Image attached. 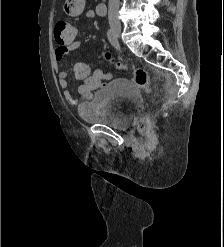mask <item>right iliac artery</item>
Listing matches in <instances>:
<instances>
[{
  "label": "right iliac artery",
  "instance_id": "right-iliac-artery-1",
  "mask_svg": "<svg viewBox=\"0 0 224 247\" xmlns=\"http://www.w3.org/2000/svg\"><path fill=\"white\" fill-rule=\"evenodd\" d=\"M107 37L109 42L116 48L119 49V43L116 34L112 31V29H108Z\"/></svg>",
  "mask_w": 224,
  "mask_h": 247
}]
</instances>
